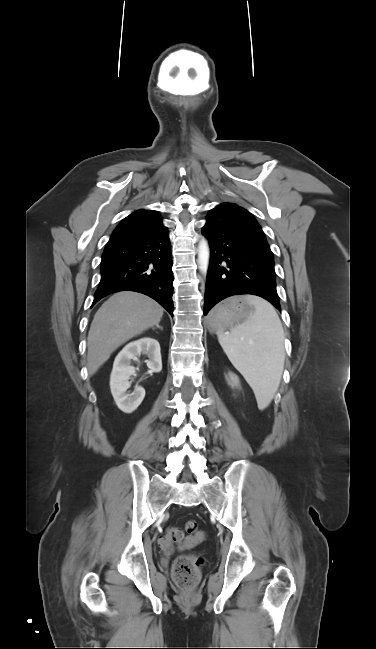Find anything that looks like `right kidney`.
Here are the masks:
<instances>
[{
    "label": "right kidney",
    "instance_id": "right-kidney-1",
    "mask_svg": "<svg viewBox=\"0 0 376 649\" xmlns=\"http://www.w3.org/2000/svg\"><path fill=\"white\" fill-rule=\"evenodd\" d=\"M141 354L148 357L145 362L149 372L162 370L160 345L154 338L143 337L127 344L122 349L113 364L110 389L118 408L125 413H132L136 410L145 397V390L140 386H136L132 393H127V389L131 385L128 380L136 372L135 367L131 366V360H137Z\"/></svg>",
    "mask_w": 376,
    "mask_h": 649
}]
</instances>
